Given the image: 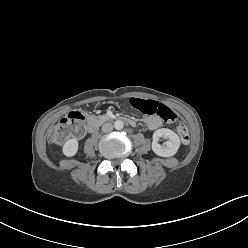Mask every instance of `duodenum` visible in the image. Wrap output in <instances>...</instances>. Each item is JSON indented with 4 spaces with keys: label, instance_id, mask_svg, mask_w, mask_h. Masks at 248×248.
<instances>
[{
    "label": "duodenum",
    "instance_id": "410a0bca",
    "mask_svg": "<svg viewBox=\"0 0 248 248\" xmlns=\"http://www.w3.org/2000/svg\"><path fill=\"white\" fill-rule=\"evenodd\" d=\"M106 119H94L88 122V126L87 129L89 132H93L97 129V127L99 126L100 123H102L103 121H105ZM123 121H125L126 123H128L131 126H134L136 124V122L133 119L130 118H123Z\"/></svg>",
    "mask_w": 248,
    "mask_h": 248
}]
</instances>
